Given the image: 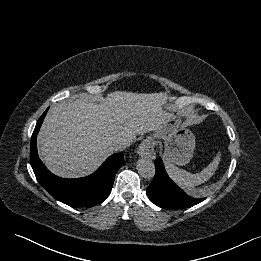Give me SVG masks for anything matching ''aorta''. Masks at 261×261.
Listing matches in <instances>:
<instances>
[{
  "label": "aorta",
  "instance_id": "obj_1",
  "mask_svg": "<svg viewBox=\"0 0 261 261\" xmlns=\"http://www.w3.org/2000/svg\"><path fill=\"white\" fill-rule=\"evenodd\" d=\"M138 173L145 179H152L155 175V165L147 158H141L137 162Z\"/></svg>",
  "mask_w": 261,
  "mask_h": 261
}]
</instances>
